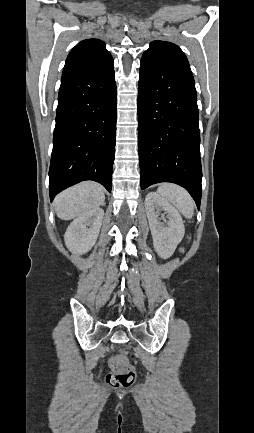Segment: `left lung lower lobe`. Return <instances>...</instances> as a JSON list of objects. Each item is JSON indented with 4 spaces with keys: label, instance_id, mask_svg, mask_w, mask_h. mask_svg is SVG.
<instances>
[{
    "label": "left lung lower lobe",
    "instance_id": "1",
    "mask_svg": "<svg viewBox=\"0 0 254 433\" xmlns=\"http://www.w3.org/2000/svg\"><path fill=\"white\" fill-rule=\"evenodd\" d=\"M138 90L141 188L176 183L191 194L199 209L202 169L192 73L142 57Z\"/></svg>",
    "mask_w": 254,
    "mask_h": 433
}]
</instances>
